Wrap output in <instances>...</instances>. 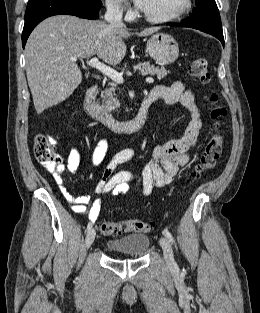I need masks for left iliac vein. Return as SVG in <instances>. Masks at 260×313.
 I'll use <instances>...</instances> for the list:
<instances>
[{
    "label": "left iliac vein",
    "instance_id": "4c4485c4",
    "mask_svg": "<svg viewBox=\"0 0 260 313\" xmlns=\"http://www.w3.org/2000/svg\"><path fill=\"white\" fill-rule=\"evenodd\" d=\"M160 244L164 253V258L166 260V263L169 267L174 268L176 266L174 257H173V250H172V246L170 244V242L162 237L160 239Z\"/></svg>",
    "mask_w": 260,
    "mask_h": 313
}]
</instances>
